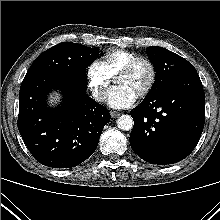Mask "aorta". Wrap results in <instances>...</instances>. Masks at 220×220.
<instances>
[{"label": "aorta", "mask_w": 220, "mask_h": 220, "mask_svg": "<svg viewBox=\"0 0 220 220\" xmlns=\"http://www.w3.org/2000/svg\"><path fill=\"white\" fill-rule=\"evenodd\" d=\"M133 118L130 115H121L117 120V126L123 131H129L133 128Z\"/></svg>", "instance_id": "762f6f07"}]
</instances>
